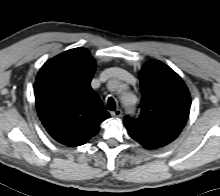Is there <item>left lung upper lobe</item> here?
<instances>
[{
    "instance_id": "1",
    "label": "left lung upper lobe",
    "mask_w": 220,
    "mask_h": 196,
    "mask_svg": "<svg viewBox=\"0 0 220 196\" xmlns=\"http://www.w3.org/2000/svg\"><path fill=\"white\" fill-rule=\"evenodd\" d=\"M142 90L140 114L126 116L124 125L146 149L172 142L185 126L190 112V94L182 79L160 61L146 63L139 73Z\"/></svg>"
}]
</instances>
